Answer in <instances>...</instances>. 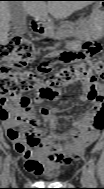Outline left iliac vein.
I'll return each mask as SVG.
<instances>
[{"mask_svg": "<svg viewBox=\"0 0 104 189\" xmlns=\"http://www.w3.org/2000/svg\"><path fill=\"white\" fill-rule=\"evenodd\" d=\"M81 182L85 186H91L92 181L90 179L89 172L86 168H84L82 171Z\"/></svg>", "mask_w": 104, "mask_h": 189, "instance_id": "left-iliac-vein-1", "label": "left iliac vein"}]
</instances>
